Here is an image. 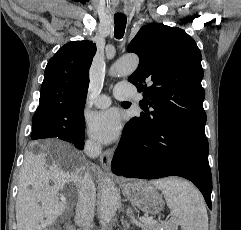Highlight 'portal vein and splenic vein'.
Returning <instances> with one entry per match:
<instances>
[{
    "mask_svg": "<svg viewBox=\"0 0 241 230\" xmlns=\"http://www.w3.org/2000/svg\"><path fill=\"white\" fill-rule=\"evenodd\" d=\"M140 222L148 225L158 224V221L153 220L152 218H146V217L140 218Z\"/></svg>",
    "mask_w": 241,
    "mask_h": 230,
    "instance_id": "18ae733b",
    "label": "portal vein and splenic vein"
}]
</instances>
